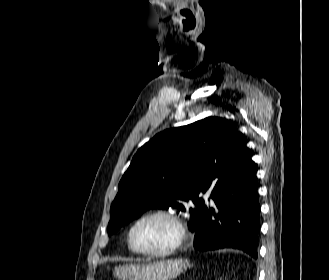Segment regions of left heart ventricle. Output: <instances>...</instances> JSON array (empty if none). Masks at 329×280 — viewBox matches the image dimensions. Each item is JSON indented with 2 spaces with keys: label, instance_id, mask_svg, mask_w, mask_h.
<instances>
[{
  "label": "left heart ventricle",
  "instance_id": "b2bd125f",
  "mask_svg": "<svg viewBox=\"0 0 329 280\" xmlns=\"http://www.w3.org/2000/svg\"><path fill=\"white\" fill-rule=\"evenodd\" d=\"M174 226L165 218L156 217L141 222L133 233L135 246L142 250H162L175 240Z\"/></svg>",
  "mask_w": 329,
  "mask_h": 280
}]
</instances>
